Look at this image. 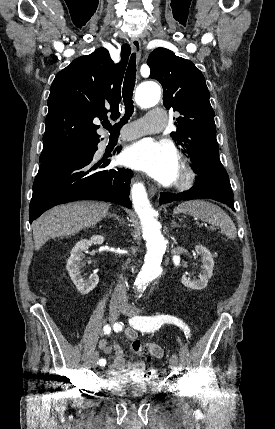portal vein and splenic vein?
Listing matches in <instances>:
<instances>
[{
    "mask_svg": "<svg viewBox=\"0 0 275 429\" xmlns=\"http://www.w3.org/2000/svg\"><path fill=\"white\" fill-rule=\"evenodd\" d=\"M210 228H211L212 230H217L215 227H212V226H211Z\"/></svg>",
    "mask_w": 275,
    "mask_h": 429,
    "instance_id": "1",
    "label": "portal vein and splenic vein"
}]
</instances>
